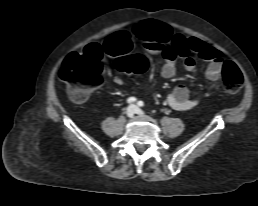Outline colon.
<instances>
[{"instance_id":"obj_1","label":"colon","mask_w":258,"mask_h":206,"mask_svg":"<svg viewBox=\"0 0 258 206\" xmlns=\"http://www.w3.org/2000/svg\"><path fill=\"white\" fill-rule=\"evenodd\" d=\"M162 29L161 26L152 28L154 35ZM116 68L120 74L140 75L147 69V60L140 55L122 57L117 60ZM105 76L102 51L95 46L85 49L82 54L69 55L59 71V78L66 84L70 99L77 103L87 100L103 83ZM221 77L226 92L236 93L241 88L243 76L233 62H224Z\"/></svg>"}]
</instances>
